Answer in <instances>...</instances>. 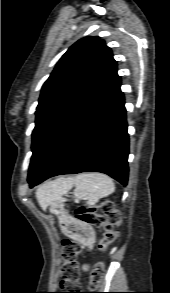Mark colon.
<instances>
[{
	"label": "colon",
	"instance_id": "5ec220e1",
	"mask_svg": "<svg viewBox=\"0 0 170 293\" xmlns=\"http://www.w3.org/2000/svg\"><path fill=\"white\" fill-rule=\"evenodd\" d=\"M75 215L79 223L93 225L103 229V236L98 243V250L105 251L107 247L118 237L119 232L116 229L122 222V216L112 201H104L100 205V212L94 209H78ZM62 229L66 232L71 231L75 224L69 217H62ZM81 247L78 243L65 240L61 247L62 266L60 269L63 278V289L53 293H91L82 292L80 285V274L78 270V256ZM104 264L99 263L95 266L90 280V285L95 286L101 282L104 277Z\"/></svg>",
	"mask_w": 170,
	"mask_h": 293
}]
</instances>
